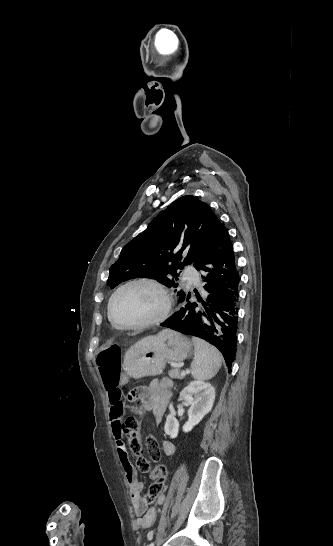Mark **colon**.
I'll list each match as a JSON object with an SVG mask.
<instances>
[{"label":"colon","instance_id":"1","mask_svg":"<svg viewBox=\"0 0 333 546\" xmlns=\"http://www.w3.org/2000/svg\"><path fill=\"white\" fill-rule=\"evenodd\" d=\"M96 365L99 369L105 388L108 390L111 401L119 402L121 393L117 389L120 382V348L116 344L107 345L102 348L96 356ZM144 402L134 401V413L123 423L124 430L128 437L129 447L136 458L137 469L141 473H154L156 476L148 489L145 502H161L164 496V488L167 477V470L164 465L151 468L150 460L156 462L160 458V449L156 439L148 436L144 442L141 438L140 415L143 411ZM146 453L149 459L146 457Z\"/></svg>","mask_w":333,"mask_h":546}]
</instances>
